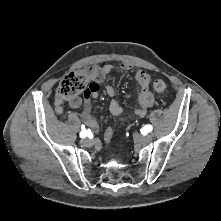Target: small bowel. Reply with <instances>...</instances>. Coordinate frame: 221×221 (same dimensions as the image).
Masks as SVG:
<instances>
[{"label": "small bowel", "mask_w": 221, "mask_h": 221, "mask_svg": "<svg viewBox=\"0 0 221 221\" xmlns=\"http://www.w3.org/2000/svg\"><path fill=\"white\" fill-rule=\"evenodd\" d=\"M114 66L112 64H106L102 67L91 66L85 69V74L91 80L87 84V88H84L81 91V96L85 99L84 101V110H83V120L87 126L96 130L98 129V122L91 115V99L98 97V94L102 90V82L106 77L112 72ZM122 71H130L134 67L129 63H123L121 65ZM135 80L138 85V101L139 107L134 111V115L138 118L145 117L147 109L151 107L154 103V96L151 92L152 78L144 70H138L135 74ZM106 94L112 98L109 105V112L114 116H120L123 112V109L119 102L114 99L115 88L112 85H107L105 87ZM63 100L58 96L55 99V110L57 113H62ZM68 104L71 108H78L82 104V99L80 97H72L68 99ZM113 136V129L108 127L105 131V141L110 142Z\"/></svg>", "instance_id": "small-bowel-1"}]
</instances>
